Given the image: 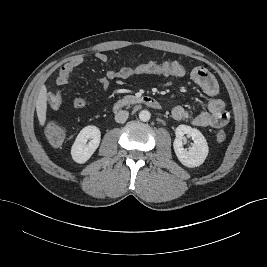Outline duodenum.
<instances>
[{
  "label": "duodenum",
  "mask_w": 267,
  "mask_h": 267,
  "mask_svg": "<svg viewBox=\"0 0 267 267\" xmlns=\"http://www.w3.org/2000/svg\"><path fill=\"white\" fill-rule=\"evenodd\" d=\"M137 106V105H145L147 107L153 108V109H160L161 104L160 102L152 97V96H136V97H126L119 99L115 104H114V109L115 110H120L126 106Z\"/></svg>",
  "instance_id": "1"
}]
</instances>
